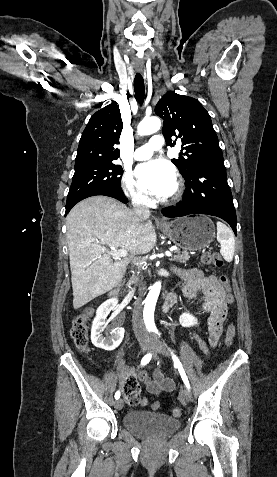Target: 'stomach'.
<instances>
[{
    "instance_id": "0dacf381",
    "label": "stomach",
    "mask_w": 277,
    "mask_h": 477,
    "mask_svg": "<svg viewBox=\"0 0 277 477\" xmlns=\"http://www.w3.org/2000/svg\"><path fill=\"white\" fill-rule=\"evenodd\" d=\"M163 233L185 251H200L214 240L212 220L204 215L186 216L161 226Z\"/></svg>"
}]
</instances>
